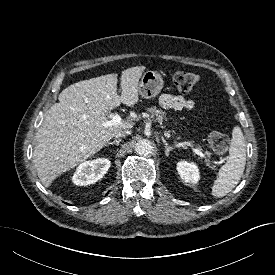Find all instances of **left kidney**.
<instances>
[{
	"label": "left kidney",
	"mask_w": 275,
	"mask_h": 275,
	"mask_svg": "<svg viewBox=\"0 0 275 275\" xmlns=\"http://www.w3.org/2000/svg\"><path fill=\"white\" fill-rule=\"evenodd\" d=\"M177 171L186 182L196 184L199 181V170L194 163L180 161L177 163Z\"/></svg>",
	"instance_id": "5707ae66"
}]
</instances>
